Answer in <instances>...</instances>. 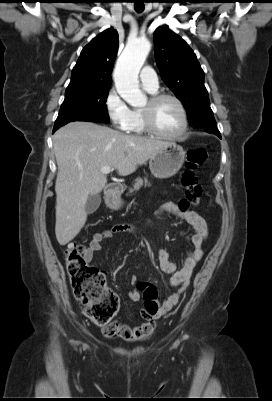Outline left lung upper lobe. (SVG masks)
Segmentation results:
<instances>
[{
  "mask_svg": "<svg viewBox=\"0 0 272 401\" xmlns=\"http://www.w3.org/2000/svg\"><path fill=\"white\" fill-rule=\"evenodd\" d=\"M155 59L165 84L183 103L193 127L216 126L204 86V72L193 50L167 27L154 32Z\"/></svg>",
  "mask_w": 272,
  "mask_h": 401,
  "instance_id": "left-lung-upper-lobe-1",
  "label": "left lung upper lobe"
}]
</instances>
